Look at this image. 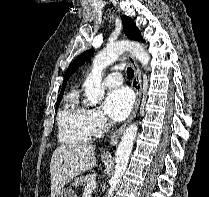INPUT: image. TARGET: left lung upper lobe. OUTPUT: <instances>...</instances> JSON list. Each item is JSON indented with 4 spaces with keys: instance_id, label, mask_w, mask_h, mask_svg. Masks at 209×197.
Instances as JSON below:
<instances>
[{
    "instance_id": "5c2ea615",
    "label": "left lung upper lobe",
    "mask_w": 209,
    "mask_h": 197,
    "mask_svg": "<svg viewBox=\"0 0 209 197\" xmlns=\"http://www.w3.org/2000/svg\"><path fill=\"white\" fill-rule=\"evenodd\" d=\"M122 23H123V30L124 34L132 40H137V41H142L145 42L142 39L141 33L139 29L136 27L134 21L127 17V16H122ZM94 50H88L84 53H82L66 70L65 76H64V82L67 81L70 77V75L76 71L79 66H81L85 61L88 60V58L92 55Z\"/></svg>"
}]
</instances>
